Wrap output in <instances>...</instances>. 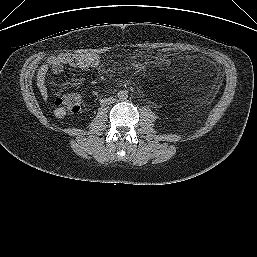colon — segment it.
<instances>
[{"label": "colon", "instance_id": "obj_1", "mask_svg": "<svg viewBox=\"0 0 257 257\" xmlns=\"http://www.w3.org/2000/svg\"><path fill=\"white\" fill-rule=\"evenodd\" d=\"M162 52L164 54H172L175 52V48L173 47H164L162 48ZM54 105L56 109L64 110L65 112L75 113L80 109L81 98L77 94H65L62 96H58L54 99Z\"/></svg>", "mask_w": 257, "mask_h": 257}]
</instances>
